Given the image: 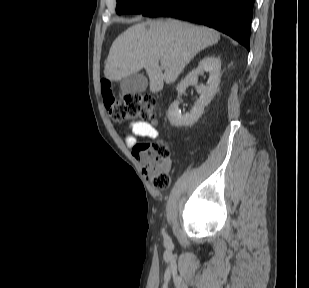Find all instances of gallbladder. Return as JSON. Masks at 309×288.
<instances>
[{
    "instance_id": "obj_1",
    "label": "gallbladder",
    "mask_w": 309,
    "mask_h": 288,
    "mask_svg": "<svg viewBox=\"0 0 309 288\" xmlns=\"http://www.w3.org/2000/svg\"><path fill=\"white\" fill-rule=\"evenodd\" d=\"M148 86L147 78L143 74L133 73L120 82L123 93L144 92Z\"/></svg>"
}]
</instances>
